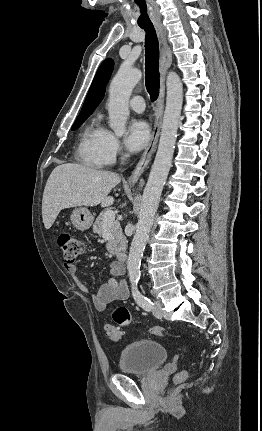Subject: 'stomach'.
<instances>
[{"instance_id": "0dacf381", "label": "stomach", "mask_w": 262, "mask_h": 431, "mask_svg": "<svg viewBox=\"0 0 262 431\" xmlns=\"http://www.w3.org/2000/svg\"><path fill=\"white\" fill-rule=\"evenodd\" d=\"M70 218L73 226L81 231L89 229L93 223L91 212L84 207L74 209Z\"/></svg>"}]
</instances>
